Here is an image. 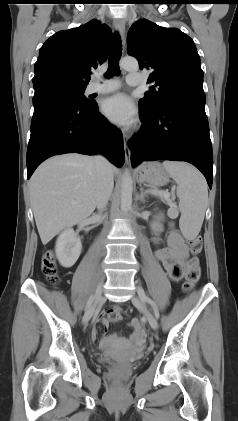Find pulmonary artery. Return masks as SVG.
Returning a JSON list of instances; mask_svg holds the SVG:
<instances>
[{
    "mask_svg": "<svg viewBox=\"0 0 238 421\" xmlns=\"http://www.w3.org/2000/svg\"><path fill=\"white\" fill-rule=\"evenodd\" d=\"M142 77L140 73H130L127 76V83L131 86L141 84ZM120 87V83L116 79H105L99 81V77L95 76L94 81L91 82L87 88L88 93H109L116 91Z\"/></svg>",
    "mask_w": 238,
    "mask_h": 421,
    "instance_id": "1",
    "label": "pulmonary artery"
}]
</instances>
